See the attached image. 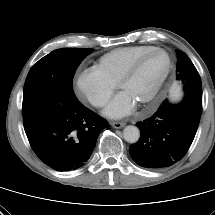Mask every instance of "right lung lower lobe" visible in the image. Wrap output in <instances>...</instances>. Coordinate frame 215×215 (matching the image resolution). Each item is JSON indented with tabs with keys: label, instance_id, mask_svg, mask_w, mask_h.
Returning a JSON list of instances; mask_svg holds the SVG:
<instances>
[{
	"label": "right lung lower lobe",
	"instance_id": "right-lung-lower-lobe-1",
	"mask_svg": "<svg viewBox=\"0 0 215 215\" xmlns=\"http://www.w3.org/2000/svg\"><path fill=\"white\" fill-rule=\"evenodd\" d=\"M106 120L81 103L65 107L26 132L36 155L57 171L77 169L94 150Z\"/></svg>",
	"mask_w": 215,
	"mask_h": 215
}]
</instances>
